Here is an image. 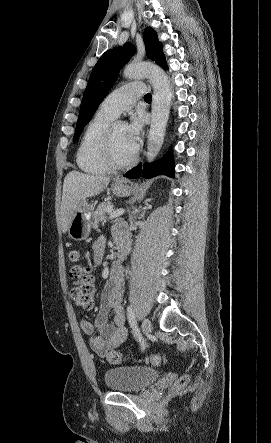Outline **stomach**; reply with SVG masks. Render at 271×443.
<instances>
[{"label": "stomach", "mask_w": 271, "mask_h": 443, "mask_svg": "<svg viewBox=\"0 0 271 443\" xmlns=\"http://www.w3.org/2000/svg\"><path fill=\"white\" fill-rule=\"evenodd\" d=\"M111 190L114 196H118V198H126L133 192L131 186H127V182H122V180H115ZM91 223V208H89L87 200L83 198L70 220L67 231L72 239L81 241V239L88 237Z\"/></svg>", "instance_id": "0dacf381"}]
</instances>
